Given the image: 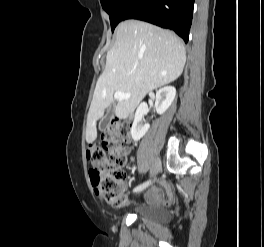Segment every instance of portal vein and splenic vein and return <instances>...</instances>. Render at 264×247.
<instances>
[{
  "label": "portal vein and splenic vein",
  "instance_id": "1",
  "mask_svg": "<svg viewBox=\"0 0 264 247\" xmlns=\"http://www.w3.org/2000/svg\"><path fill=\"white\" fill-rule=\"evenodd\" d=\"M130 96H131V94L123 93V92H121V91H116V92L114 93V98H115L116 100L129 99Z\"/></svg>",
  "mask_w": 264,
  "mask_h": 247
}]
</instances>
